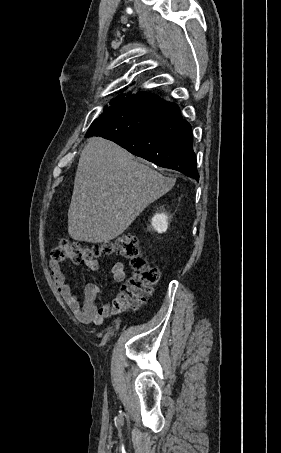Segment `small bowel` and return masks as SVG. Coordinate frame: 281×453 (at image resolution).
Returning a JSON list of instances; mask_svg holds the SVG:
<instances>
[{"instance_id":"obj_1","label":"small bowel","mask_w":281,"mask_h":453,"mask_svg":"<svg viewBox=\"0 0 281 453\" xmlns=\"http://www.w3.org/2000/svg\"><path fill=\"white\" fill-rule=\"evenodd\" d=\"M86 266L92 271L99 270V262L96 259H87ZM50 269L61 295L65 298L68 305L73 308L77 318L82 323L100 325L103 319L119 304L117 299H112L101 307L103 290L99 284L94 282L85 284L84 300L80 303L71 286L66 281L64 271L58 259L51 260ZM113 276L116 282H123L125 280L126 272L122 262H117L114 265Z\"/></svg>"}]
</instances>
